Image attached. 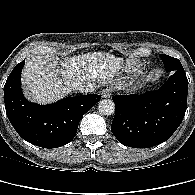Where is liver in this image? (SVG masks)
Instances as JSON below:
<instances>
[{
  "label": "liver",
  "mask_w": 195,
  "mask_h": 195,
  "mask_svg": "<svg viewBox=\"0 0 195 195\" xmlns=\"http://www.w3.org/2000/svg\"><path fill=\"white\" fill-rule=\"evenodd\" d=\"M122 72H130L122 57L94 52L67 57L56 66L39 57L29 59L23 69L22 85L26 96L37 103H52L84 83L124 85Z\"/></svg>",
  "instance_id": "liver-1"
}]
</instances>
